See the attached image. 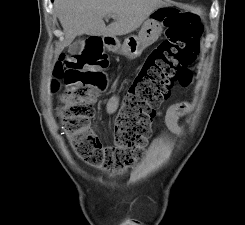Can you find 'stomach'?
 <instances>
[{"label": "stomach", "instance_id": "0dacf381", "mask_svg": "<svg viewBox=\"0 0 245 225\" xmlns=\"http://www.w3.org/2000/svg\"><path fill=\"white\" fill-rule=\"evenodd\" d=\"M161 9H165V7L153 11L143 23L138 35L127 37L122 45L114 38L115 42L111 45V49L129 59L139 57L144 49L158 40L163 31V24L159 20L160 14L163 12Z\"/></svg>", "mask_w": 245, "mask_h": 225}]
</instances>
